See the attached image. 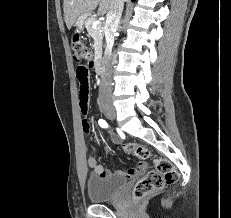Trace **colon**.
I'll return each instance as SVG.
<instances>
[{
  "label": "colon",
  "instance_id": "obj_1",
  "mask_svg": "<svg viewBox=\"0 0 231 218\" xmlns=\"http://www.w3.org/2000/svg\"><path fill=\"white\" fill-rule=\"evenodd\" d=\"M71 46L73 59L78 66L81 63H86L87 60H92L91 49L85 45L79 35L73 36ZM122 148L129 155L143 160L152 159L154 165V170L148 172L135 184L132 192L134 201H141L150 194L161 190L164 185L174 184L178 181V171L169 160L161 157H152L150 151L145 146L135 142L125 143Z\"/></svg>",
  "mask_w": 231,
  "mask_h": 218
}]
</instances>
